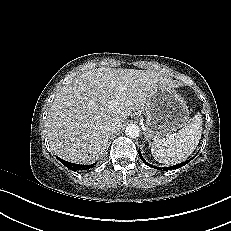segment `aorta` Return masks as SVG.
Here are the masks:
<instances>
[{
  "label": "aorta",
  "instance_id": "762f6f07",
  "mask_svg": "<svg viewBox=\"0 0 231 231\" xmlns=\"http://www.w3.org/2000/svg\"><path fill=\"white\" fill-rule=\"evenodd\" d=\"M125 134L129 138H137L140 134V129L136 124H129L125 129Z\"/></svg>",
  "mask_w": 231,
  "mask_h": 231
}]
</instances>
